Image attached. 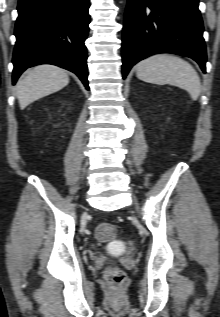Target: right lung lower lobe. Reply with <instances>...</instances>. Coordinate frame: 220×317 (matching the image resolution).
Here are the masks:
<instances>
[{"label": "right lung lower lobe", "mask_w": 220, "mask_h": 317, "mask_svg": "<svg viewBox=\"0 0 220 317\" xmlns=\"http://www.w3.org/2000/svg\"><path fill=\"white\" fill-rule=\"evenodd\" d=\"M89 0H19L13 84L28 67L53 64L75 73L88 86Z\"/></svg>", "instance_id": "right-lung-lower-lobe-1"}]
</instances>
